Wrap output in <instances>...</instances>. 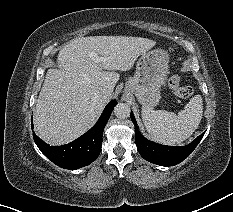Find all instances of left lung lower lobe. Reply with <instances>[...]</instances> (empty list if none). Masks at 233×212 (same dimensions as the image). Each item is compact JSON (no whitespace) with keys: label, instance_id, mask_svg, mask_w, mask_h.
<instances>
[{"label":"left lung lower lobe","instance_id":"0a47b994","mask_svg":"<svg viewBox=\"0 0 233 212\" xmlns=\"http://www.w3.org/2000/svg\"><path fill=\"white\" fill-rule=\"evenodd\" d=\"M130 117L135 125V141L140 155L145 160L161 166H173L182 162L192 153L205 134L204 132L186 146L174 147L161 145L149 141L139 132V127L136 124L133 112H131Z\"/></svg>","mask_w":233,"mask_h":212}]
</instances>
